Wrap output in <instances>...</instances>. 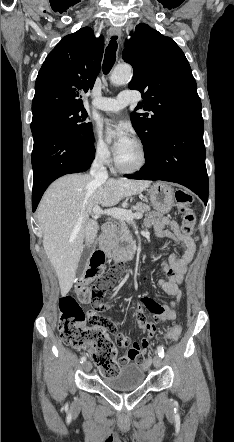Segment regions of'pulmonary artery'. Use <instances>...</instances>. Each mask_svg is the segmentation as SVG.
I'll use <instances>...</instances> for the list:
<instances>
[{"instance_id": "obj_1", "label": "pulmonary artery", "mask_w": 234, "mask_h": 442, "mask_svg": "<svg viewBox=\"0 0 234 442\" xmlns=\"http://www.w3.org/2000/svg\"><path fill=\"white\" fill-rule=\"evenodd\" d=\"M135 102L130 92H121L116 98L99 97L93 101L95 108L101 111L116 112Z\"/></svg>"}]
</instances>
